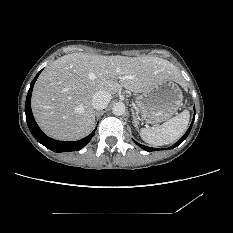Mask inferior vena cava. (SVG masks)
Masks as SVG:
<instances>
[{
	"label": "inferior vena cava",
	"mask_w": 233,
	"mask_h": 233,
	"mask_svg": "<svg viewBox=\"0 0 233 233\" xmlns=\"http://www.w3.org/2000/svg\"><path fill=\"white\" fill-rule=\"evenodd\" d=\"M111 100V94L105 90H99L94 93L91 104L96 110L105 109Z\"/></svg>",
	"instance_id": "inferior-vena-cava-1"
}]
</instances>
